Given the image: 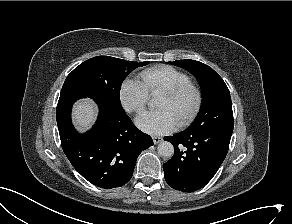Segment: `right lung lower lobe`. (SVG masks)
<instances>
[{"mask_svg": "<svg viewBox=\"0 0 292 224\" xmlns=\"http://www.w3.org/2000/svg\"><path fill=\"white\" fill-rule=\"evenodd\" d=\"M86 96L60 95L57 125L63 151L73 167L90 183L105 189L121 187L132 177L137 157L153 145L123 109L95 100L99 115L91 130L78 133L71 121L73 103Z\"/></svg>", "mask_w": 292, "mask_h": 224, "instance_id": "98d812e1", "label": "right lung lower lobe"}]
</instances>
